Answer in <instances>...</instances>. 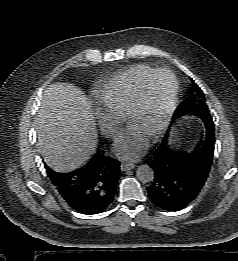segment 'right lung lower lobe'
<instances>
[{"instance_id":"obj_1","label":"right lung lower lobe","mask_w":238,"mask_h":261,"mask_svg":"<svg viewBox=\"0 0 238 261\" xmlns=\"http://www.w3.org/2000/svg\"><path fill=\"white\" fill-rule=\"evenodd\" d=\"M45 168L61 196L78 212L101 213L114 200L120 177L118 160L96 154L85 166L69 173H57L46 164Z\"/></svg>"}]
</instances>
